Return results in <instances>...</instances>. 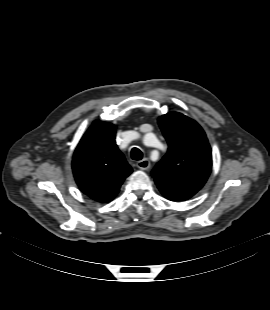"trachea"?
Listing matches in <instances>:
<instances>
[{
  "label": "trachea",
  "mask_w": 270,
  "mask_h": 310,
  "mask_svg": "<svg viewBox=\"0 0 270 310\" xmlns=\"http://www.w3.org/2000/svg\"><path fill=\"white\" fill-rule=\"evenodd\" d=\"M142 157H143V154H142V152L138 148H136V147L132 148V150H131V158L133 160H141Z\"/></svg>",
  "instance_id": "obj_1"
}]
</instances>
